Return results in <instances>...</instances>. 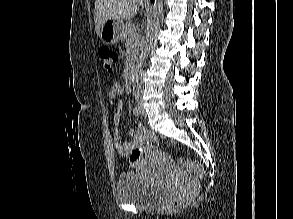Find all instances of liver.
Segmentation results:
<instances>
[{"instance_id":"6515ba94","label":"liver","mask_w":293,"mask_h":219,"mask_svg":"<svg viewBox=\"0 0 293 219\" xmlns=\"http://www.w3.org/2000/svg\"><path fill=\"white\" fill-rule=\"evenodd\" d=\"M139 0H95V30L100 35L102 26L110 19H130L135 16Z\"/></svg>"}]
</instances>
